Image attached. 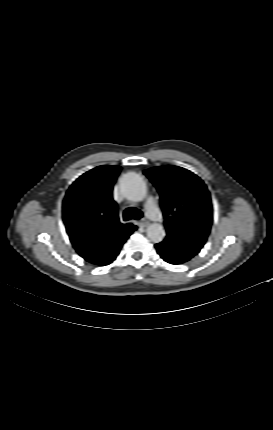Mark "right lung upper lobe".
Masks as SVG:
<instances>
[{
	"label": "right lung upper lobe",
	"instance_id": "right-lung-upper-lobe-1",
	"mask_svg": "<svg viewBox=\"0 0 273 430\" xmlns=\"http://www.w3.org/2000/svg\"><path fill=\"white\" fill-rule=\"evenodd\" d=\"M121 167L99 166L80 176L63 201V220L70 240L80 256L96 262L114 245H122L137 226L119 221L112 198ZM107 246L104 248L103 246Z\"/></svg>",
	"mask_w": 273,
	"mask_h": 430
}]
</instances>
